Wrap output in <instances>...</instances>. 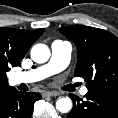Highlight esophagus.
I'll list each match as a JSON object with an SVG mask.
<instances>
[{
    "label": "esophagus",
    "mask_w": 118,
    "mask_h": 118,
    "mask_svg": "<svg viewBox=\"0 0 118 118\" xmlns=\"http://www.w3.org/2000/svg\"><path fill=\"white\" fill-rule=\"evenodd\" d=\"M59 93L57 91H45L43 93V96H48V97H53V96H58Z\"/></svg>",
    "instance_id": "34e87169"
}]
</instances>
